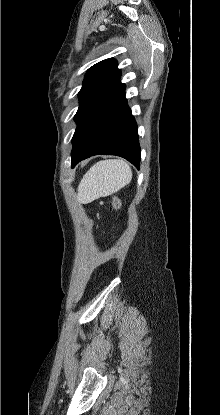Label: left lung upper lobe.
<instances>
[{
    "label": "left lung upper lobe",
    "instance_id": "1",
    "mask_svg": "<svg viewBox=\"0 0 220 415\" xmlns=\"http://www.w3.org/2000/svg\"><path fill=\"white\" fill-rule=\"evenodd\" d=\"M117 65V61L114 58H110L98 62L87 70L83 86L78 93L80 106L74 117L77 127L98 96L112 82L120 79L121 70L117 68Z\"/></svg>",
    "mask_w": 220,
    "mask_h": 415
}]
</instances>
